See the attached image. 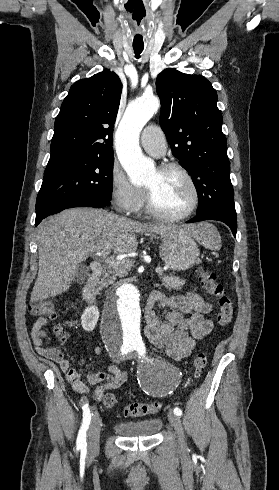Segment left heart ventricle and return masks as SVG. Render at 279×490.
<instances>
[{"label":"left heart ventricle","mask_w":279,"mask_h":490,"mask_svg":"<svg viewBox=\"0 0 279 490\" xmlns=\"http://www.w3.org/2000/svg\"><path fill=\"white\" fill-rule=\"evenodd\" d=\"M147 187L151 188L156 206L166 214H179L192 201V190L184 176L178 172L156 170L150 176Z\"/></svg>","instance_id":"1"}]
</instances>
